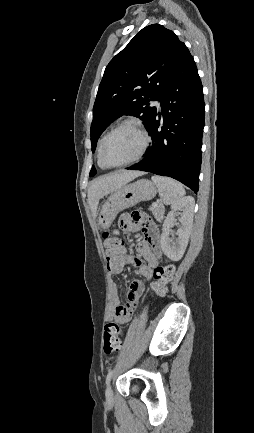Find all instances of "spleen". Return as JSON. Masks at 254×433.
Listing matches in <instances>:
<instances>
[{"label":"spleen","mask_w":254,"mask_h":433,"mask_svg":"<svg viewBox=\"0 0 254 433\" xmlns=\"http://www.w3.org/2000/svg\"><path fill=\"white\" fill-rule=\"evenodd\" d=\"M159 190L164 204H174L185 195V190L181 183L169 177L154 175L151 177Z\"/></svg>","instance_id":"obj_1"}]
</instances>
